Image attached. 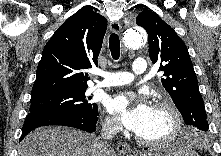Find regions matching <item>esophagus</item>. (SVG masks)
I'll return each instance as SVG.
<instances>
[{
	"mask_svg": "<svg viewBox=\"0 0 221 156\" xmlns=\"http://www.w3.org/2000/svg\"><path fill=\"white\" fill-rule=\"evenodd\" d=\"M110 30L114 33H119L121 31V25L118 21H111L110 22ZM117 151L122 154V155H125V154H128L130 153V147L128 146L127 143L125 142H118L117 143Z\"/></svg>",
	"mask_w": 221,
	"mask_h": 156,
	"instance_id": "1",
	"label": "esophagus"
}]
</instances>
